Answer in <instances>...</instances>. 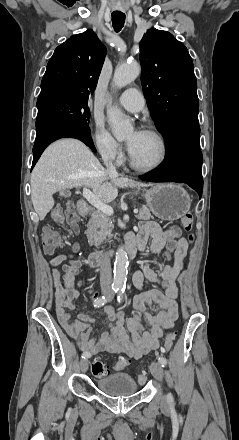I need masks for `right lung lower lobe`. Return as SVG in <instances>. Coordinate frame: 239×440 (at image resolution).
<instances>
[{
	"mask_svg": "<svg viewBox=\"0 0 239 440\" xmlns=\"http://www.w3.org/2000/svg\"><path fill=\"white\" fill-rule=\"evenodd\" d=\"M36 140L33 147L32 168L38 161L45 148L53 141L60 138H76L84 142L95 151L90 130L63 121H47L36 125Z\"/></svg>",
	"mask_w": 239,
	"mask_h": 440,
	"instance_id": "obj_1",
	"label": "right lung lower lobe"
}]
</instances>
